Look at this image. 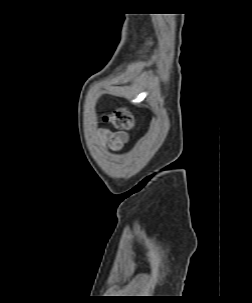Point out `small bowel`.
Wrapping results in <instances>:
<instances>
[{
  "mask_svg": "<svg viewBox=\"0 0 252 303\" xmlns=\"http://www.w3.org/2000/svg\"><path fill=\"white\" fill-rule=\"evenodd\" d=\"M98 133L103 146L114 152H119L124 148L129 135L126 131L113 132L105 128L99 129Z\"/></svg>",
  "mask_w": 252,
  "mask_h": 303,
  "instance_id": "obj_1",
  "label": "small bowel"
}]
</instances>
